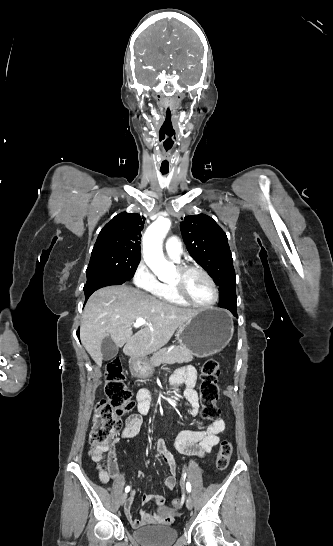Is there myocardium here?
Listing matches in <instances>:
<instances>
[{
  "instance_id": "myocardium-1",
  "label": "myocardium",
  "mask_w": 333,
  "mask_h": 546,
  "mask_svg": "<svg viewBox=\"0 0 333 546\" xmlns=\"http://www.w3.org/2000/svg\"><path fill=\"white\" fill-rule=\"evenodd\" d=\"M190 271H198L208 280L214 292V297L212 301L208 303H198L192 300L187 295L183 285V277ZM177 273H178L179 279L177 282L172 283V287L174 289L175 294L177 295L179 299H181L183 302H185L188 305H192L194 307H199V308H209L217 304L219 300V289L217 287L216 282L212 278V276L204 268L198 265H183L178 267Z\"/></svg>"
}]
</instances>
